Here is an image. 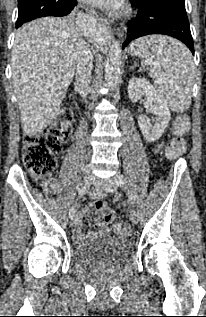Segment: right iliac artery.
I'll use <instances>...</instances> for the list:
<instances>
[{"label": "right iliac artery", "mask_w": 206, "mask_h": 317, "mask_svg": "<svg viewBox=\"0 0 206 317\" xmlns=\"http://www.w3.org/2000/svg\"><path fill=\"white\" fill-rule=\"evenodd\" d=\"M88 190H89L88 185L82 186L78 191V196L81 197V196L85 195L88 192ZM69 215L71 218L75 215V207L74 206H72L70 208Z\"/></svg>", "instance_id": "1"}]
</instances>
